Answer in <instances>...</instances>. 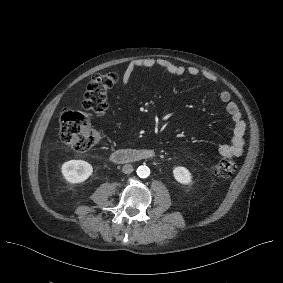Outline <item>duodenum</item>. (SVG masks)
I'll return each mask as SVG.
<instances>
[{
    "label": "duodenum",
    "instance_id": "410a0bca",
    "mask_svg": "<svg viewBox=\"0 0 283 283\" xmlns=\"http://www.w3.org/2000/svg\"><path fill=\"white\" fill-rule=\"evenodd\" d=\"M156 153L151 149H122L113 152L110 156L112 162L117 164L146 161L155 158Z\"/></svg>",
    "mask_w": 283,
    "mask_h": 283
}]
</instances>
